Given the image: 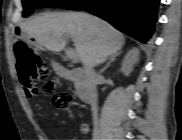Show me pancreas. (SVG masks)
I'll use <instances>...</instances> for the list:
<instances>
[{"mask_svg":"<svg viewBox=\"0 0 182 140\" xmlns=\"http://www.w3.org/2000/svg\"><path fill=\"white\" fill-rule=\"evenodd\" d=\"M56 73L60 76V77H65V78H71V76L67 73V72H64L60 69V67H55L54 68Z\"/></svg>","mask_w":182,"mask_h":140,"instance_id":"obj_1","label":"pancreas"}]
</instances>
